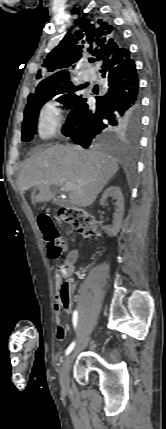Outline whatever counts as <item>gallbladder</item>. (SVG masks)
<instances>
[{
	"label": "gallbladder",
	"instance_id": "bac80fb5",
	"mask_svg": "<svg viewBox=\"0 0 166 429\" xmlns=\"http://www.w3.org/2000/svg\"><path fill=\"white\" fill-rule=\"evenodd\" d=\"M54 202L59 206H70V202L67 199L56 198Z\"/></svg>",
	"mask_w": 166,
	"mask_h": 429
}]
</instances>
